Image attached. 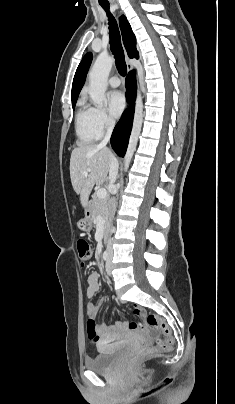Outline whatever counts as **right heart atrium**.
I'll list each match as a JSON object with an SVG mask.
<instances>
[{
    "mask_svg": "<svg viewBox=\"0 0 235 404\" xmlns=\"http://www.w3.org/2000/svg\"><path fill=\"white\" fill-rule=\"evenodd\" d=\"M92 108V116L95 128L99 133H103L104 131L111 128L114 124L113 119L109 116L105 109L100 107H91Z\"/></svg>",
    "mask_w": 235,
    "mask_h": 404,
    "instance_id": "obj_1",
    "label": "right heart atrium"
}]
</instances>
